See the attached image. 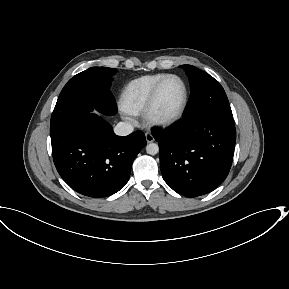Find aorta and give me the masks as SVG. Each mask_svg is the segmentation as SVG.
<instances>
[{
  "mask_svg": "<svg viewBox=\"0 0 289 289\" xmlns=\"http://www.w3.org/2000/svg\"><path fill=\"white\" fill-rule=\"evenodd\" d=\"M146 151L150 155H155L159 152V146L156 143H150L146 146Z\"/></svg>",
  "mask_w": 289,
  "mask_h": 289,
  "instance_id": "obj_1",
  "label": "aorta"
}]
</instances>
